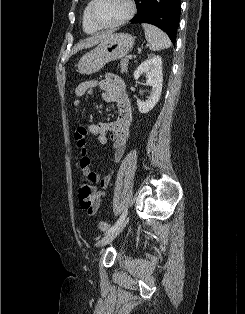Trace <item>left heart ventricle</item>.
Returning <instances> with one entry per match:
<instances>
[{
  "label": "left heart ventricle",
  "mask_w": 245,
  "mask_h": 314,
  "mask_svg": "<svg viewBox=\"0 0 245 314\" xmlns=\"http://www.w3.org/2000/svg\"><path fill=\"white\" fill-rule=\"evenodd\" d=\"M128 5L126 0H97L94 14L101 23H112L126 14Z\"/></svg>",
  "instance_id": "1"
}]
</instances>
